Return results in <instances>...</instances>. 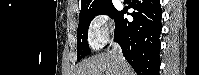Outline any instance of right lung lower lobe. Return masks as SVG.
Returning <instances> with one entry per match:
<instances>
[{
	"instance_id": "98d812e1",
	"label": "right lung lower lobe",
	"mask_w": 199,
	"mask_h": 75,
	"mask_svg": "<svg viewBox=\"0 0 199 75\" xmlns=\"http://www.w3.org/2000/svg\"><path fill=\"white\" fill-rule=\"evenodd\" d=\"M135 11L134 20L123 18L120 11L115 21L114 40L122 48L123 55L138 75H159L161 6L159 0H133L129 5Z\"/></svg>"
}]
</instances>
